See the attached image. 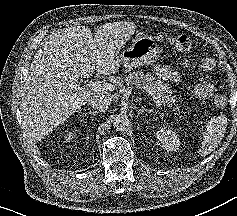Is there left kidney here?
<instances>
[{
  "instance_id": "5707ae66",
  "label": "left kidney",
  "mask_w": 237,
  "mask_h": 216,
  "mask_svg": "<svg viewBox=\"0 0 237 216\" xmlns=\"http://www.w3.org/2000/svg\"><path fill=\"white\" fill-rule=\"evenodd\" d=\"M157 141L165 150L176 151L178 149V140L176 136L166 128L157 131Z\"/></svg>"
}]
</instances>
